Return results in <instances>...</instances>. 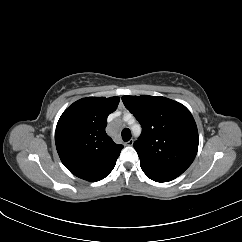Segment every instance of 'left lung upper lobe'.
I'll return each instance as SVG.
<instances>
[{
  "label": "left lung upper lobe",
  "mask_w": 242,
  "mask_h": 242,
  "mask_svg": "<svg viewBox=\"0 0 242 242\" xmlns=\"http://www.w3.org/2000/svg\"><path fill=\"white\" fill-rule=\"evenodd\" d=\"M122 101L142 126V134L134 143L142 170L181 175L193 162L199 143L190 111L161 96H123Z\"/></svg>",
  "instance_id": "1"
}]
</instances>
